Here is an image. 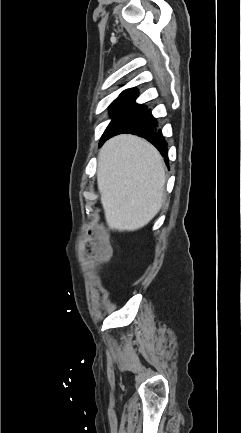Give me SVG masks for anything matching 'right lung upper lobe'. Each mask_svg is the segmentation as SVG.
Segmentation results:
<instances>
[{
    "instance_id": "right-lung-upper-lobe-1",
    "label": "right lung upper lobe",
    "mask_w": 241,
    "mask_h": 433,
    "mask_svg": "<svg viewBox=\"0 0 241 433\" xmlns=\"http://www.w3.org/2000/svg\"><path fill=\"white\" fill-rule=\"evenodd\" d=\"M137 96H138V91L136 88L127 89L119 95V97H137Z\"/></svg>"
}]
</instances>
